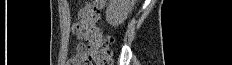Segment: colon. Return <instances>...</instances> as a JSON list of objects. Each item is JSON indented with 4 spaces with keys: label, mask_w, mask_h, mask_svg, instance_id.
I'll return each instance as SVG.
<instances>
[{
    "label": "colon",
    "mask_w": 232,
    "mask_h": 65,
    "mask_svg": "<svg viewBox=\"0 0 232 65\" xmlns=\"http://www.w3.org/2000/svg\"><path fill=\"white\" fill-rule=\"evenodd\" d=\"M103 6V0H94L87 4L80 14V20L84 25L85 31V44L80 47V51L86 55V64H112L109 41L102 36L101 30L97 25Z\"/></svg>",
    "instance_id": "5ec220e1"
}]
</instances>
